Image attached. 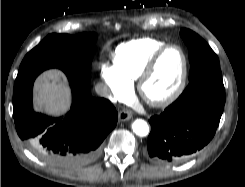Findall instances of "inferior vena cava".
I'll return each instance as SVG.
<instances>
[{
	"label": "inferior vena cava",
	"mask_w": 245,
	"mask_h": 187,
	"mask_svg": "<svg viewBox=\"0 0 245 187\" xmlns=\"http://www.w3.org/2000/svg\"><path fill=\"white\" fill-rule=\"evenodd\" d=\"M95 91L99 96L111 98V92H110L108 86L104 83L96 84Z\"/></svg>",
	"instance_id": "inferior-vena-cava-1"
}]
</instances>
